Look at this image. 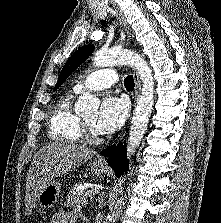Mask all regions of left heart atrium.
<instances>
[{
    "mask_svg": "<svg viewBox=\"0 0 221 223\" xmlns=\"http://www.w3.org/2000/svg\"><path fill=\"white\" fill-rule=\"evenodd\" d=\"M127 115L128 106L125 100L108 96L101 103L95 129L100 134L113 133L124 124Z\"/></svg>",
    "mask_w": 221,
    "mask_h": 223,
    "instance_id": "1",
    "label": "left heart atrium"
}]
</instances>
